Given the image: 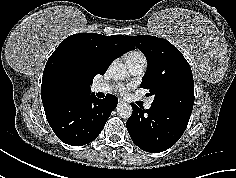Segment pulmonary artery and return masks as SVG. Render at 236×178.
Segmentation results:
<instances>
[{"label": "pulmonary artery", "instance_id": "e3ab8cb5", "mask_svg": "<svg viewBox=\"0 0 236 178\" xmlns=\"http://www.w3.org/2000/svg\"><path fill=\"white\" fill-rule=\"evenodd\" d=\"M126 65L129 70V72L132 75H140L144 72L147 62L145 59H127ZM110 90V87L105 84H96L92 86V91L99 93V92H108ZM153 100L150 99L145 102L144 107L146 109H150L152 107Z\"/></svg>", "mask_w": 236, "mask_h": 178}]
</instances>
